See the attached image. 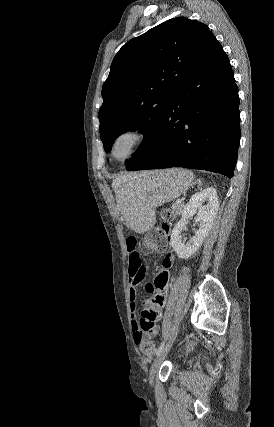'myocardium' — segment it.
Wrapping results in <instances>:
<instances>
[{
  "label": "myocardium",
  "instance_id": "1",
  "mask_svg": "<svg viewBox=\"0 0 274 427\" xmlns=\"http://www.w3.org/2000/svg\"><path fill=\"white\" fill-rule=\"evenodd\" d=\"M123 136H129L132 139V145H131V149H130V152L128 153V155L121 160H117V159H115V157L113 155V149H114V146H115V143L117 142V140ZM146 140H147V134L142 128H140L138 126L125 127L123 129L119 130L111 138L109 146H108L109 157L116 163H119V164L126 163L137 155L139 150L145 144Z\"/></svg>",
  "mask_w": 274,
  "mask_h": 427
}]
</instances>
